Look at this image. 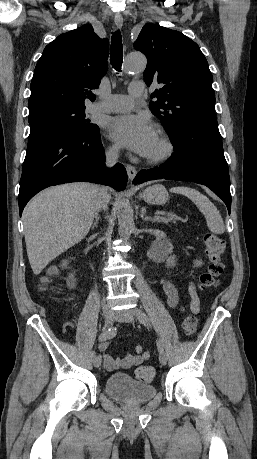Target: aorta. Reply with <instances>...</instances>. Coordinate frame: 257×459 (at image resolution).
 <instances>
[{"instance_id": "aorta-1", "label": "aorta", "mask_w": 257, "mask_h": 459, "mask_svg": "<svg viewBox=\"0 0 257 459\" xmlns=\"http://www.w3.org/2000/svg\"><path fill=\"white\" fill-rule=\"evenodd\" d=\"M146 58L142 54L131 53L125 60L124 71L127 74L138 72L146 67ZM118 232L122 239H129L134 230V215L129 201L120 198L117 205Z\"/></svg>"}]
</instances>
